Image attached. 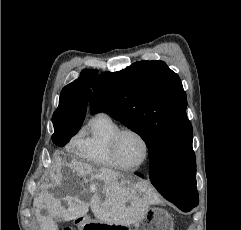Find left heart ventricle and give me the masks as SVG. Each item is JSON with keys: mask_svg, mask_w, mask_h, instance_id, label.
Wrapping results in <instances>:
<instances>
[{"mask_svg": "<svg viewBox=\"0 0 241 230\" xmlns=\"http://www.w3.org/2000/svg\"><path fill=\"white\" fill-rule=\"evenodd\" d=\"M145 155L143 142L134 134H124L118 145V158L126 165H136L140 163Z\"/></svg>", "mask_w": 241, "mask_h": 230, "instance_id": "b2bd125f", "label": "left heart ventricle"}]
</instances>
